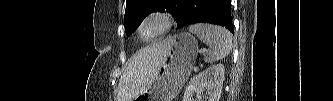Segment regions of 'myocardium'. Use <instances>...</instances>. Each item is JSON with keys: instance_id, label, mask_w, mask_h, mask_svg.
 <instances>
[{"instance_id": "1", "label": "myocardium", "mask_w": 333, "mask_h": 101, "mask_svg": "<svg viewBox=\"0 0 333 101\" xmlns=\"http://www.w3.org/2000/svg\"><path fill=\"white\" fill-rule=\"evenodd\" d=\"M151 21L159 22L160 27L154 34H152L150 36H144L143 28L147 23H149ZM173 23H174V20H173L171 13H169L168 11L157 10V11H153V12L146 14L140 20L138 27H137V32L141 39H143L145 41H151V40H154V39L166 34L171 29Z\"/></svg>"}]
</instances>
